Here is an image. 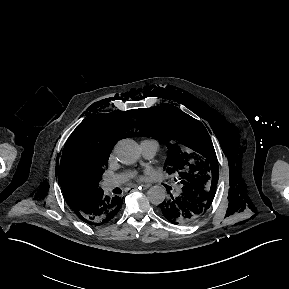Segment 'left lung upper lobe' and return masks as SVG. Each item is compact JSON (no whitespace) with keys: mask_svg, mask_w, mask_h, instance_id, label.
Returning a JSON list of instances; mask_svg holds the SVG:
<instances>
[{"mask_svg":"<svg viewBox=\"0 0 289 289\" xmlns=\"http://www.w3.org/2000/svg\"><path fill=\"white\" fill-rule=\"evenodd\" d=\"M137 135L159 138L171 154L165 166L178 172L183 186L200 182L206 187L218 182V162L211 138L202 123L176 107L138 110ZM138 119V118H137Z\"/></svg>","mask_w":289,"mask_h":289,"instance_id":"5c2ea615","label":"left lung upper lobe"}]
</instances>
